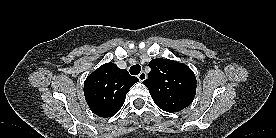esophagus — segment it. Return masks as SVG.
I'll return each instance as SVG.
<instances>
[{
  "mask_svg": "<svg viewBox=\"0 0 276 138\" xmlns=\"http://www.w3.org/2000/svg\"><path fill=\"white\" fill-rule=\"evenodd\" d=\"M146 78H147V74H146L144 71H142V72L139 73L138 79H139L141 82L144 81Z\"/></svg>",
  "mask_w": 276,
  "mask_h": 138,
  "instance_id": "34e87169",
  "label": "esophagus"
}]
</instances>
